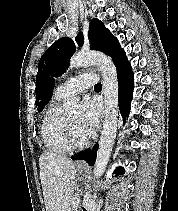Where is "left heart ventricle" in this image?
Segmentation results:
<instances>
[{
  "instance_id": "left-heart-ventricle-1",
  "label": "left heart ventricle",
  "mask_w": 178,
  "mask_h": 211,
  "mask_svg": "<svg viewBox=\"0 0 178 211\" xmlns=\"http://www.w3.org/2000/svg\"><path fill=\"white\" fill-rule=\"evenodd\" d=\"M67 119H68V121L71 125L75 140L78 143L85 141L87 139L88 135L79 127V124H78L79 117H78V115L70 116Z\"/></svg>"
}]
</instances>
